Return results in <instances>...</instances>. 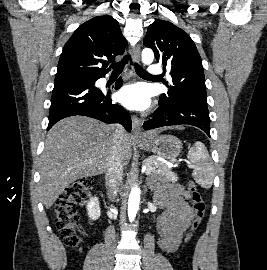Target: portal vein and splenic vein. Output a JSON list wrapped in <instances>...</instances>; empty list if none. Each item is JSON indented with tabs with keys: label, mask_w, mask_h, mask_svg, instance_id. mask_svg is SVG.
Listing matches in <instances>:
<instances>
[{
	"label": "portal vein and splenic vein",
	"mask_w": 267,
	"mask_h": 270,
	"mask_svg": "<svg viewBox=\"0 0 267 270\" xmlns=\"http://www.w3.org/2000/svg\"><path fill=\"white\" fill-rule=\"evenodd\" d=\"M176 162V159H172L169 162H167L168 165L173 166L174 163ZM142 172H145L147 175L151 173V170L148 169L145 165L142 167Z\"/></svg>",
	"instance_id": "18ae733b"
}]
</instances>
